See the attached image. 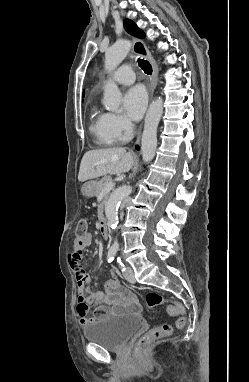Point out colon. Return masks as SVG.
<instances>
[{"instance_id":"colon-1","label":"colon","mask_w":249,"mask_h":382,"mask_svg":"<svg viewBox=\"0 0 249 382\" xmlns=\"http://www.w3.org/2000/svg\"><path fill=\"white\" fill-rule=\"evenodd\" d=\"M88 234V221L84 218L80 219L77 223L76 227V239L79 241H82L85 239V237ZM82 273H85V270L82 271ZM146 303L149 307H154L160 304H167L168 306V312L171 315H177L176 320V327L177 328H183L186 323L185 319V310L184 308L177 302L169 301L168 299L164 298L161 294L151 291L147 293L146 295ZM173 332V327L170 324H163L161 326L155 327L145 334H143L137 341L135 349L138 354L142 353V350L151 344H153L155 341L169 336Z\"/></svg>"}]
</instances>
